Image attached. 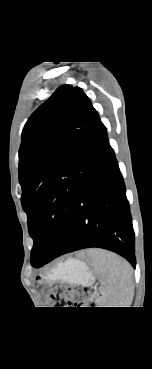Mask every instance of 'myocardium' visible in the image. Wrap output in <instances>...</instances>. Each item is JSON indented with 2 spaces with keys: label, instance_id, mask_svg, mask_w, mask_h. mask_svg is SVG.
Segmentation results:
<instances>
[{
  "label": "myocardium",
  "instance_id": "myocardium-1",
  "mask_svg": "<svg viewBox=\"0 0 152 369\" xmlns=\"http://www.w3.org/2000/svg\"><path fill=\"white\" fill-rule=\"evenodd\" d=\"M51 235V231L50 230H48L47 232H46V236L48 237V236H50Z\"/></svg>",
  "mask_w": 152,
  "mask_h": 369
}]
</instances>
